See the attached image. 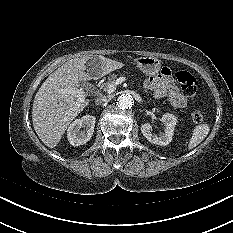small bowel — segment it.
Masks as SVG:
<instances>
[{
  "instance_id": "1",
  "label": "small bowel",
  "mask_w": 233,
  "mask_h": 233,
  "mask_svg": "<svg viewBox=\"0 0 233 233\" xmlns=\"http://www.w3.org/2000/svg\"><path fill=\"white\" fill-rule=\"evenodd\" d=\"M145 87L154 91L156 98L168 97L175 108L181 109L187 105V97L176 86L168 67H164L159 74L149 77L145 81Z\"/></svg>"
}]
</instances>
